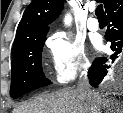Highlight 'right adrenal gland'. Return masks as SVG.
<instances>
[{
	"instance_id": "obj_1",
	"label": "right adrenal gland",
	"mask_w": 123,
	"mask_h": 113,
	"mask_svg": "<svg viewBox=\"0 0 123 113\" xmlns=\"http://www.w3.org/2000/svg\"><path fill=\"white\" fill-rule=\"evenodd\" d=\"M109 111H110V112H109ZM105 113H112V112H111V109H106V110H105ZM121 113H123V110L121 111Z\"/></svg>"
}]
</instances>
